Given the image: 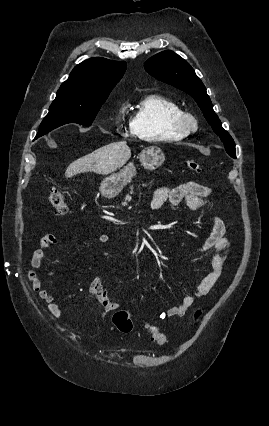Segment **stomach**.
<instances>
[{"label": "stomach", "instance_id": "0dacf381", "mask_svg": "<svg viewBox=\"0 0 269 426\" xmlns=\"http://www.w3.org/2000/svg\"><path fill=\"white\" fill-rule=\"evenodd\" d=\"M139 159L141 165L147 170H154L162 165L165 160L164 153L158 147H149L144 149ZM136 175V168L133 162L128 163L118 173H114L105 178L100 186L101 194L108 198H113L118 195L123 188Z\"/></svg>", "mask_w": 269, "mask_h": 426}]
</instances>
